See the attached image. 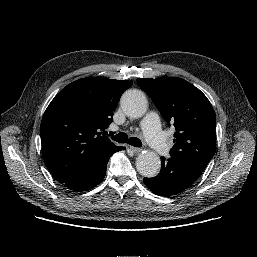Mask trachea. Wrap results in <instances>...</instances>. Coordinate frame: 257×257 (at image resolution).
<instances>
[{"instance_id": "3493384b", "label": "trachea", "mask_w": 257, "mask_h": 257, "mask_svg": "<svg viewBox=\"0 0 257 257\" xmlns=\"http://www.w3.org/2000/svg\"><path fill=\"white\" fill-rule=\"evenodd\" d=\"M111 138L118 142V143H128L132 146L135 147H141L142 146V142L140 139H138L137 137H128V135L124 132H121L117 135H111Z\"/></svg>"}]
</instances>
